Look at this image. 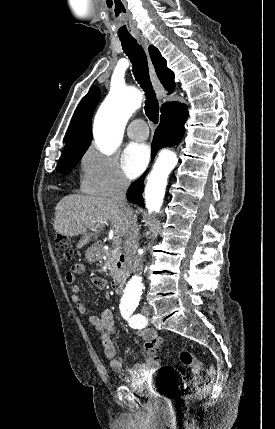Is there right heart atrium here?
Wrapping results in <instances>:
<instances>
[{
	"label": "right heart atrium",
	"instance_id": "1",
	"mask_svg": "<svg viewBox=\"0 0 275 429\" xmlns=\"http://www.w3.org/2000/svg\"><path fill=\"white\" fill-rule=\"evenodd\" d=\"M80 171L82 189L91 195L111 196L126 190L130 184L117 158L94 147L82 155Z\"/></svg>",
	"mask_w": 275,
	"mask_h": 429
}]
</instances>
